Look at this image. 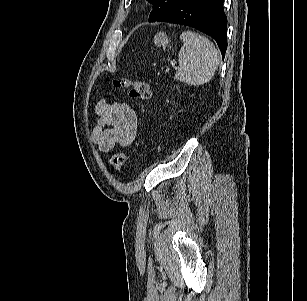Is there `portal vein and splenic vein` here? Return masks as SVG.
<instances>
[{"instance_id": "portal-vein-and-splenic-vein-1", "label": "portal vein and splenic vein", "mask_w": 307, "mask_h": 301, "mask_svg": "<svg viewBox=\"0 0 307 301\" xmlns=\"http://www.w3.org/2000/svg\"><path fill=\"white\" fill-rule=\"evenodd\" d=\"M169 71H170V69H169V68H167V69L165 70V73H169Z\"/></svg>"}]
</instances>
